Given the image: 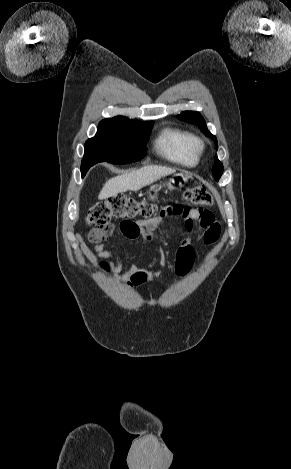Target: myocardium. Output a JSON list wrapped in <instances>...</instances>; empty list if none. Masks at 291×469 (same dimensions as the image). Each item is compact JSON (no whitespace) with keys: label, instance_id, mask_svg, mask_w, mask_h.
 <instances>
[{"label":"myocardium","instance_id":"obj_1","mask_svg":"<svg viewBox=\"0 0 291 469\" xmlns=\"http://www.w3.org/2000/svg\"><path fill=\"white\" fill-rule=\"evenodd\" d=\"M205 148V145L202 140L197 139L196 144H195V149L198 154H200Z\"/></svg>","mask_w":291,"mask_h":469}]
</instances>
